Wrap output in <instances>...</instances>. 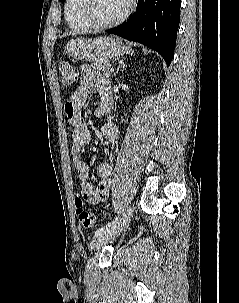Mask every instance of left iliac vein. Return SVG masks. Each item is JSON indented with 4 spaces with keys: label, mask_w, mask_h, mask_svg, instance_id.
<instances>
[{
    "label": "left iliac vein",
    "mask_w": 239,
    "mask_h": 303,
    "mask_svg": "<svg viewBox=\"0 0 239 303\" xmlns=\"http://www.w3.org/2000/svg\"><path fill=\"white\" fill-rule=\"evenodd\" d=\"M131 213L132 211L129 209L125 213L124 217L119 220L114 226H112L108 231L94 237L90 244L91 249L99 250L107 243L112 242L127 226Z\"/></svg>",
    "instance_id": "left-iliac-vein-1"
}]
</instances>
